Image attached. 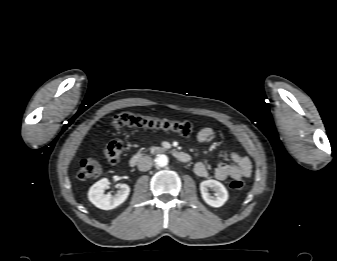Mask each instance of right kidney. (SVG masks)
<instances>
[{
    "label": "right kidney",
    "instance_id": "ca27d5eb",
    "mask_svg": "<svg viewBox=\"0 0 337 261\" xmlns=\"http://www.w3.org/2000/svg\"><path fill=\"white\" fill-rule=\"evenodd\" d=\"M110 182L103 178L96 182L88 192L89 200L98 208L103 210L113 209L122 204L130 193V187L126 184H120L118 192L113 196L110 193L105 194Z\"/></svg>",
    "mask_w": 337,
    "mask_h": 261
}]
</instances>
